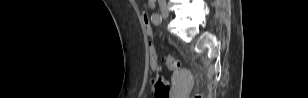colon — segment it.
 <instances>
[{
  "instance_id": "colon-1",
  "label": "colon",
  "mask_w": 308,
  "mask_h": 98,
  "mask_svg": "<svg viewBox=\"0 0 308 98\" xmlns=\"http://www.w3.org/2000/svg\"><path fill=\"white\" fill-rule=\"evenodd\" d=\"M140 15L143 16V21L145 22L144 24V31L147 32L149 36L152 35V31L154 30V25L150 21V16L147 15V10L146 9H141L140 10ZM149 56H150V65L151 68L154 71L158 70V62H157V54L154 48V45L152 42H150V48H149ZM165 63L167 67L170 70H178L181 66L180 61L172 56H167L165 58ZM151 89L153 90L154 93V98H168L169 97V83L161 78L158 77L152 82ZM195 98H202L200 95H197Z\"/></svg>"
}]
</instances>
